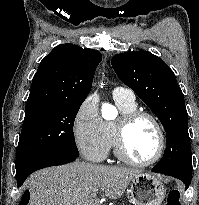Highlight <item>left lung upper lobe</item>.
<instances>
[{
	"instance_id": "5c2ea615",
	"label": "left lung upper lobe",
	"mask_w": 199,
	"mask_h": 205,
	"mask_svg": "<svg viewBox=\"0 0 199 205\" xmlns=\"http://www.w3.org/2000/svg\"><path fill=\"white\" fill-rule=\"evenodd\" d=\"M111 64L120 80L156 114L166 131L167 147L154 169L192 178L188 113L173 71L148 51L117 54Z\"/></svg>"
}]
</instances>
